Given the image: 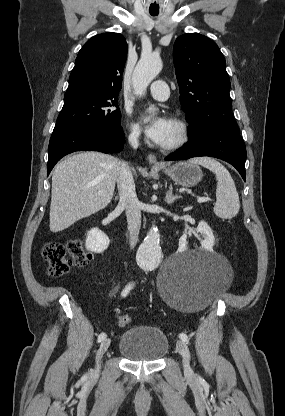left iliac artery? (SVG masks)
I'll use <instances>...</instances> for the list:
<instances>
[{"label": "left iliac artery", "instance_id": "obj_1", "mask_svg": "<svg viewBox=\"0 0 285 416\" xmlns=\"http://www.w3.org/2000/svg\"><path fill=\"white\" fill-rule=\"evenodd\" d=\"M179 338L183 341V342H185V343H188L189 342V338H188V336L185 334V333H180L179 334ZM199 379H201V377L199 376Z\"/></svg>", "mask_w": 285, "mask_h": 416}]
</instances>
